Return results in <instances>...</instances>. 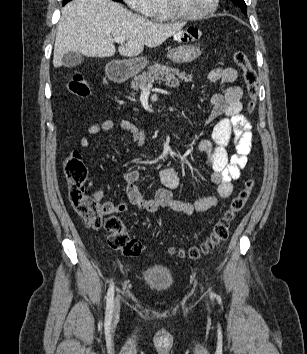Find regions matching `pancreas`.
Listing matches in <instances>:
<instances>
[{
	"instance_id": "cf45deb5",
	"label": "pancreas",
	"mask_w": 307,
	"mask_h": 354,
	"mask_svg": "<svg viewBox=\"0 0 307 354\" xmlns=\"http://www.w3.org/2000/svg\"><path fill=\"white\" fill-rule=\"evenodd\" d=\"M154 80L164 81L170 87H178L182 81H191L192 76L187 75L185 72H180L176 68L156 63L148 67L146 72L134 77V81L131 82V89L135 91L142 90L147 82H153Z\"/></svg>"
}]
</instances>
